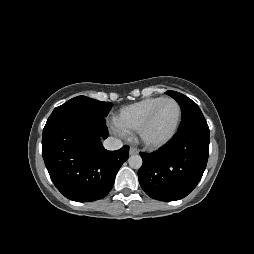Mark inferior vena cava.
<instances>
[{
    "label": "inferior vena cava",
    "mask_w": 254,
    "mask_h": 254,
    "mask_svg": "<svg viewBox=\"0 0 254 254\" xmlns=\"http://www.w3.org/2000/svg\"><path fill=\"white\" fill-rule=\"evenodd\" d=\"M103 146L107 150H117L123 146V143L121 140H119L117 138L108 137L106 140H104Z\"/></svg>",
    "instance_id": "1"
}]
</instances>
